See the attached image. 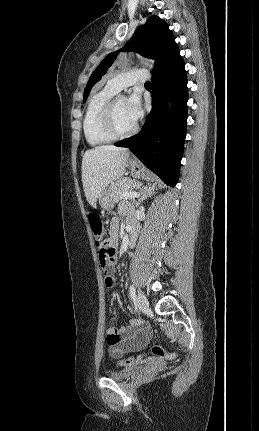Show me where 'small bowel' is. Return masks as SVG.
Wrapping results in <instances>:
<instances>
[{
    "instance_id": "c3829d8e",
    "label": "small bowel",
    "mask_w": 259,
    "mask_h": 431,
    "mask_svg": "<svg viewBox=\"0 0 259 431\" xmlns=\"http://www.w3.org/2000/svg\"><path fill=\"white\" fill-rule=\"evenodd\" d=\"M118 233L119 222L117 219H113L110 224L109 238L107 240L114 248H116L118 243ZM113 263L111 264L110 268L103 266L100 269L101 274L104 275V285L107 288H111L114 285L115 277L112 275ZM109 331L117 333L119 337L115 344H111V346L114 347L115 355H121L128 351L143 349L148 344L150 337V329L144 323V321L139 318L130 320V322L125 326L111 327L107 332Z\"/></svg>"
}]
</instances>
